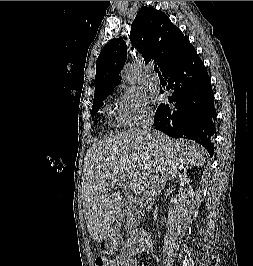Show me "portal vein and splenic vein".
<instances>
[{
    "mask_svg": "<svg viewBox=\"0 0 253 266\" xmlns=\"http://www.w3.org/2000/svg\"><path fill=\"white\" fill-rule=\"evenodd\" d=\"M119 180L118 179H115L114 182H118ZM139 184H137L135 181L133 183H130L128 185V188L131 189L133 192H136L137 191V188H138Z\"/></svg>",
    "mask_w": 253,
    "mask_h": 266,
    "instance_id": "portal-vein-and-splenic-vein-1",
    "label": "portal vein and splenic vein"
}]
</instances>
